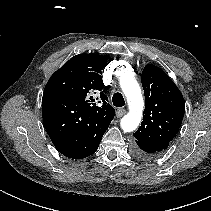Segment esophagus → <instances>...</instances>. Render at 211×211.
Returning <instances> with one entry per match:
<instances>
[{
    "label": "esophagus",
    "instance_id": "esophagus-1",
    "mask_svg": "<svg viewBox=\"0 0 211 211\" xmlns=\"http://www.w3.org/2000/svg\"><path fill=\"white\" fill-rule=\"evenodd\" d=\"M125 113H126V110H125V109L119 108V109H117V111H116V116H117L118 118H121L123 115H125Z\"/></svg>",
    "mask_w": 211,
    "mask_h": 211
}]
</instances>
